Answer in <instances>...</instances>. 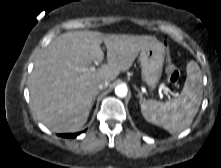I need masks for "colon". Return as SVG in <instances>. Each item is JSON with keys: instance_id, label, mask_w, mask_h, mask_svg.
<instances>
[{"instance_id": "colon-1", "label": "colon", "mask_w": 221, "mask_h": 168, "mask_svg": "<svg viewBox=\"0 0 221 168\" xmlns=\"http://www.w3.org/2000/svg\"><path fill=\"white\" fill-rule=\"evenodd\" d=\"M165 73L170 84L175 85L179 80V70L175 64L172 63L169 54L167 55Z\"/></svg>"}]
</instances>
